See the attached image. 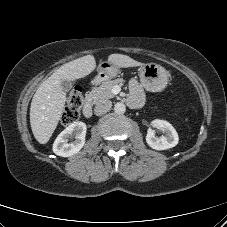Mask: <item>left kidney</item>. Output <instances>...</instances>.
Here are the masks:
<instances>
[{"mask_svg":"<svg viewBox=\"0 0 227 227\" xmlns=\"http://www.w3.org/2000/svg\"><path fill=\"white\" fill-rule=\"evenodd\" d=\"M152 124L154 127L162 130L164 135L156 137L154 130L149 128L146 135V142L151 148L155 150H166L178 144V134L169 122L157 119Z\"/></svg>","mask_w":227,"mask_h":227,"instance_id":"left-kidney-1","label":"left kidney"}]
</instances>
